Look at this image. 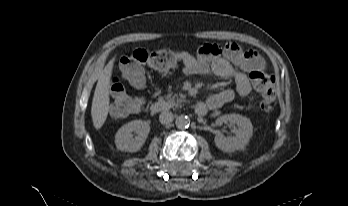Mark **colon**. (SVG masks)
Instances as JSON below:
<instances>
[{
  "instance_id": "1",
  "label": "colon",
  "mask_w": 348,
  "mask_h": 206,
  "mask_svg": "<svg viewBox=\"0 0 348 206\" xmlns=\"http://www.w3.org/2000/svg\"><path fill=\"white\" fill-rule=\"evenodd\" d=\"M220 48L215 44H210ZM182 61V54L169 49L149 51L135 49L124 56L120 68L125 79L135 88L143 89L146 84L145 68L150 67L158 72H168ZM250 82L260 95L259 107L262 111H270L273 107L274 84L273 76L262 71H252L249 75ZM144 105L143 97L128 93L121 81L112 80L111 109L117 116L139 112Z\"/></svg>"
}]
</instances>
